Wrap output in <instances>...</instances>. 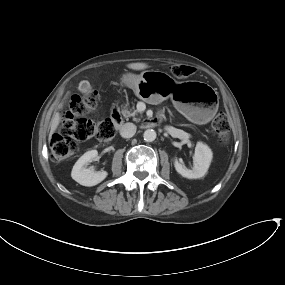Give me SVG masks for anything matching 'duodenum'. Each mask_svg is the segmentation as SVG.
<instances>
[{
	"instance_id": "410a0bca",
	"label": "duodenum",
	"mask_w": 285,
	"mask_h": 285,
	"mask_svg": "<svg viewBox=\"0 0 285 285\" xmlns=\"http://www.w3.org/2000/svg\"><path fill=\"white\" fill-rule=\"evenodd\" d=\"M111 120L116 124L119 129L122 126V116L118 106H114L111 112Z\"/></svg>"
}]
</instances>
